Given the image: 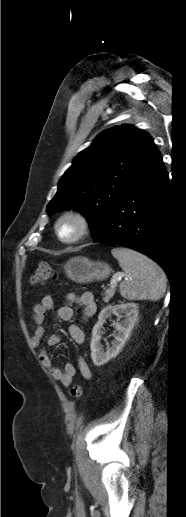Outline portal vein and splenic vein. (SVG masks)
Here are the masks:
<instances>
[{"label": "portal vein and splenic vein", "instance_id": "18ae733b", "mask_svg": "<svg viewBox=\"0 0 186 517\" xmlns=\"http://www.w3.org/2000/svg\"><path fill=\"white\" fill-rule=\"evenodd\" d=\"M124 277H125V274H123V273L122 274H118V275H114L112 277L111 281H110V287L114 288L117 285V283L119 281H121V279L124 278Z\"/></svg>", "mask_w": 186, "mask_h": 517}]
</instances>
